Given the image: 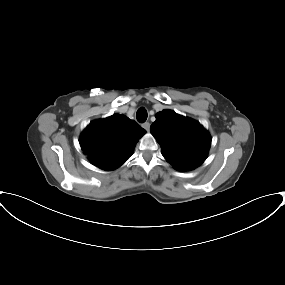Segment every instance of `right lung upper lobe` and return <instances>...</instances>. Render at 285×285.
Masks as SVG:
<instances>
[{
	"label": "right lung upper lobe",
	"mask_w": 285,
	"mask_h": 285,
	"mask_svg": "<svg viewBox=\"0 0 285 285\" xmlns=\"http://www.w3.org/2000/svg\"><path fill=\"white\" fill-rule=\"evenodd\" d=\"M145 132L134 120L114 114L91 122L80 136V145L93 165L111 171L131 156Z\"/></svg>",
	"instance_id": "right-lung-upper-lobe-1"
}]
</instances>
